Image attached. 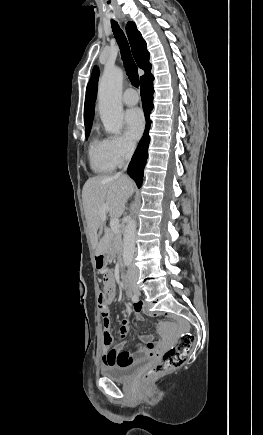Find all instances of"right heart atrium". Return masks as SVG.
<instances>
[{
    "label": "right heart atrium",
    "mask_w": 263,
    "mask_h": 435,
    "mask_svg": "<svg viewBox=\"0 0 263 435\" xmlns=\"http://www.w3.org/2000/svg\"><path fill=\"white\" fill-rule=\"evenodd\" d=\"M108 139L110 155L116 165L127 160L134 151V144L123 135L111 136Z\"/></svg>",
    "instance_id": "right-heart-atrium-1"
}]
</instances>
